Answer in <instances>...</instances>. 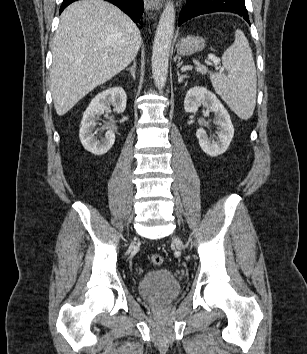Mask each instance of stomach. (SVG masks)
<instances>
[{"mask_svg": "<svg viewBox=\"0 0 307 354\" xmlns=\"http://www.w3.org/2000/svg\"><path fill=\"white\" fill-rule=\"evenodd\" d=\"M206 45L205 39L200 36L188 35L177 44L179 55H190L202 51Z\"/></svg>", "mask_w": 307, "mask_h": 354, "instance_id": "1", "label": "stomach"}]
</instances>
